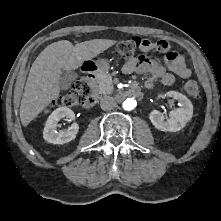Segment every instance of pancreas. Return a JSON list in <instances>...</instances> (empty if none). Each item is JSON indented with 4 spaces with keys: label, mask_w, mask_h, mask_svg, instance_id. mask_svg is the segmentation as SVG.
I'll list each match as a JSON object with an SVG mask.
<instances>
[{
    "label": "pancreas",
    "mask_w": 221,
    "mask_h": 221,
    "mask_svg": "<svg viewBox=\"0 0 221 221\" xmlns=\"http://www.w3.org/2000/svg\"><path fill=\"white\" fill-rule=\"evenodd\" d=\"M114 90L112 77L109 74L102 73L98 76L97 85H94V93L109 94Z\"/></svg>",
    "instance_id": "1"
}]
</instances>
